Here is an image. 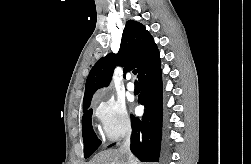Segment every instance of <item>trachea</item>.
<instances>
[{"label":"trachea","instance_id":"3493384b","mask_svg":"<svg viewBox=\"0 0 251 164\" xmlns=\"http://www.w3.org/2000/svg\"><path fill=\"white\" fill-rule=\"evenodd\" d=\"M133 74L134 75H136L137 74V70L135 69V70H133Z\"/></svg>","mask_w":251,"mask_h":164}]
</instances>
